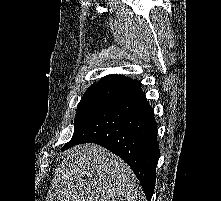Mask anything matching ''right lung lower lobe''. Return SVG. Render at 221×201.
I'll use <instances>...</instances> for the list:
<instances>
[{
	"label": "right lung lower lobe",
	"instance_id": "right-lung-lower-lobe-1",
	"mask_svg": "<svg viewBox=\"0 0 221 201\" xmlns=\"http://www.w3.org/2000/svg\"><path fill=\"white\" fill-rule=\"evenodd\" d=\"M137 80L118 89L62 147L96 143L125 160L148 200L154 192L159 159L157 124Z\"/></svg>",
	"mask_w": 221,
	"mask_h": 201
}]
</instances>
